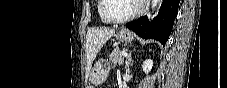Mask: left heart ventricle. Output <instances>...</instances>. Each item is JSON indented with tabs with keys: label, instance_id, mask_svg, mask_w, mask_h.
I'll list each match as a JSON object with an SVG mask.
<instances>
[{
	"label": "left heart ventricle",
	"instance_id": "b2bd125f",
	"mask_svg": "<svg viewBox=\"0 0 227 88\" xmlns=\"http://www.w3.org/2000/svg\"><path fill=\"white\" fill-rule=\"evenodd\" d=\"M137 4L136 0H107L105 14L110 19H122L133 13Z\"/></svg>",
	"mask_w": 227,
	"mask_h": 88
}]
</instances>
